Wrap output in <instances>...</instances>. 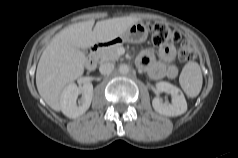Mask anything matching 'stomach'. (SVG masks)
<instances>
[{
  "instance_id": "0dacf381",
  "label": "stomach",
  "mask_w": 238,
  "mask_h": 158,
  "mask_svg": "<svg viewBox=\"0 0 238 158\" xmlns=\"http://www.w3.org/2000/svg\"><path fill=\"white\" fill-rule=\"evenodd\" d=\"M148 28L142 22H137L131 25L120 36L111 40L114 43L129 42V43H142L147 39Z\"/></svg>"
}]
</instances>
